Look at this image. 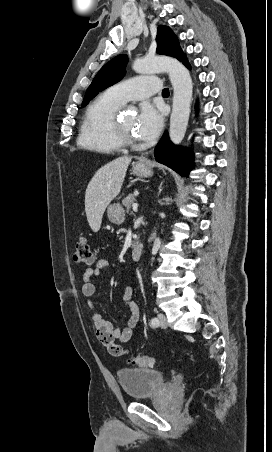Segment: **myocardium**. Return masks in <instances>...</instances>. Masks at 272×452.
Listing matches in <instances>:
<instances>
[{"label": "myocardium", "instance_id": "obj_1", "mask_svg": "<svg viewBox=\"0 0 272 452\" xmlns=\"http://www.w3.org/2000/svg\"><path fill=\"white\" fill-rule=\"evenodd\" d=\"M110 130L113 139L120 146L136 147L138 145L137 141L130 138L128 134L124 131L118 120L117 114H115L112 118Z\"/></svg>", "mask_w": 272, "mask_h": 452}]
</instances>
